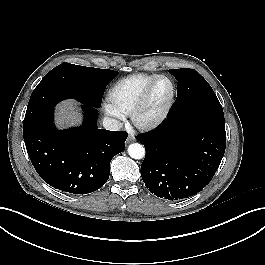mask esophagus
Masks as SVG:
<instances>
[{"instance_id": "1", "label": "esophagus", "mask_w": 265, "mask_h": 265, "mask_svg": "<svg viewBox=\"0 0 265 265\" xmlns=\"http://www.w3.org/2000/svg\"><path fill=\"white\" fill-rule=\"evenodd\" d=\"M135 141V138L133 136H128L126 143L129 144L131 142Z\"/></svg>"}]
</instances>
